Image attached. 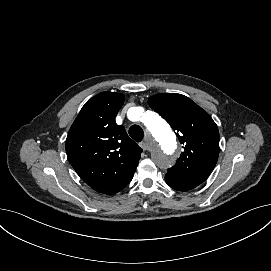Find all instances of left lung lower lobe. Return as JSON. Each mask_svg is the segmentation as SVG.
I'll list each match as a JSON object with an SVG mask.
<instances>
[{
	"label": "left lung lower lobe",
	"mask_w": 271,
	"mask_h": 271,
	"mask_svg": "<svg viewBox=\"0 0 271 271\" xmlns=\"http://www.w3.org/2000/svg\"><path fill=\"white\" fill-rule=\"evenodd\" d=\"M165 181L173 189L183 192L193 190L201 184L184 178L174 177L169 174L165 175Z\"/></svg>",
	"instance_id": "left-lung-lower-lobe-1"
}]
</instances>
